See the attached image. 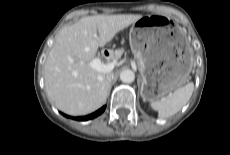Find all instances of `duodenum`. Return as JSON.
<instances>
[{
    "label": "duodenum",
    "instance_id": "duodenum-1",
    "mask_svg": "<svg viewBox=\"0 0 230 155\" xmlns=\"http://www.w3.org/2000/svg\"><path fill=\"white\" fill-rule=\"evenodd\" d=\"M102 54H103V57H105V58L108 56V52L107 51H103Z\"/></svg>",
    "mask_w": 230,
    "mask_h": 155
}]
</instances>
